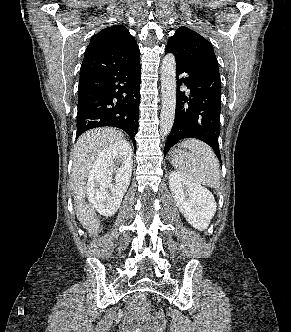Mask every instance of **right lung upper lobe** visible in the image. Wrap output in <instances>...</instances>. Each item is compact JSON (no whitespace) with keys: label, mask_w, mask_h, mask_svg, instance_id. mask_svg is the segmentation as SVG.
I'll use <instances>...</instances> for the list:
<instances>
[{"label":"right lung upper lobe","mask_w":291,"mask_h":332,"mask_svg":"<svg viewBox=\"0 0 291 332\" xmlns=\"http://www.w3.org/2000/svg\"><path fill=\"white\" fill-rule=\"evenodd\" d=\"M139 58V47L129 31L121 25L110 26L91 38L80 75L122 67Z\"/></svg>","instance_id":"1"}]
</instances>
